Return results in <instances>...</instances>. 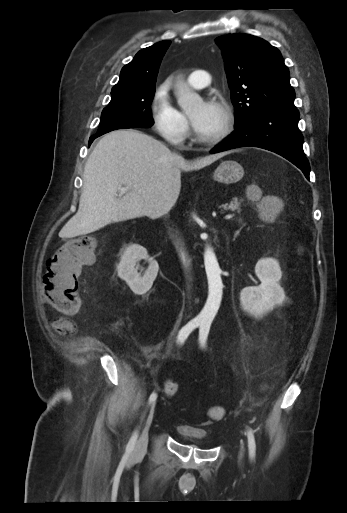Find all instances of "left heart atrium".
I'll return each mask as SVG.
<instances>
[{
  "label": "left heart atrium",
  "instance_id": "1",
  "mask_svg": "<svg viewBox=\"0 0 347 513\" xmlns=\"http://www.w3.org/2000/svg\"><path fill=\"white\" fill-rule=\"evenodd\" d=\"M210 118H211V108H210V105H207V107L203 111V113L192 121L195 130H200L204 126H206V124L209 122Z\"/></svg>",
  "mask_w": 347,
  "mask_h": 513
}]
</instances>
